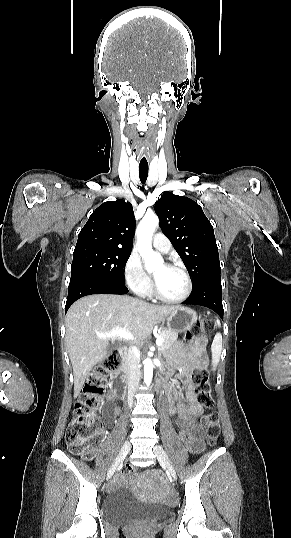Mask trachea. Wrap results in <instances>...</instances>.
Instances as JSON below:
<instances>
[{"mask_svg": "<svg viewBox=\"0 0 291 538\" xmlns=\"http://www.w3.org/2000/svg\"><path fill=\"white\" fill-rule=\"evenodd\" d=\"M139 177L141 182L144 184L148 177V164L139 165Z\"/></svg>", "mask_w": 291, "mask_h": 538, "instance_id": "3493384b", "label": "trachea"}]
</instances>
